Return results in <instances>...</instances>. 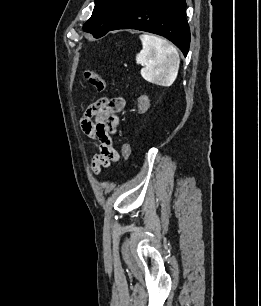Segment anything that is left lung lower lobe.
<instances>
[{
  "instance_id": "obj_1",
  "label": "left lung lower lobe",
  "mask_w": 261,
  "mask_h": 306,
  "mask_svg": "<svg viewBox=\"0 0 261 306\" xmlns=\"http://www.w3.org/2000/svg\"><path fill=\"white\" fill-rule=\"evenodd\" d=\"M185 9V0H133L110 30L136 29L164 36L186 56L190 29Z\"/></svg>"
}]
</instances>
